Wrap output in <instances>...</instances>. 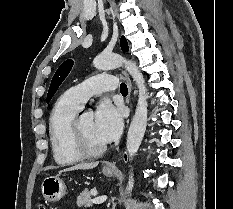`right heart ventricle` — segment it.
Segmentation results:
<instances>
[{
    "label": "right heart ventricle",
    "instance_id": "e07e8e85",
    "mask_svg": "<svg viewBox=\"0 0 233 209\" xmlns=\"http://www.w3.org/2000/svg\"><path fill=\"white\" fill-rule=\"evenodd\" d=\"M80 108L73 104L67 95L55 103L49 119V140L54 161L61 166L73 165L82 157L71 143V126Z\"/></svg>",
    "mask_w": 233,
    "mask_h": 209
}]
</instances>
